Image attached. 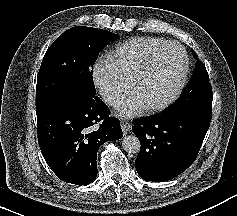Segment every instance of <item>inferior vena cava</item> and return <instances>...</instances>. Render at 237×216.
<instances>
[{"label": "inferior vena cava", "instance_id": "inferior-vena-cava-1", "mask_svg": "<svg viewBox=\"0 0 237 216\" xmlns=\"http://www.w3.org/2000/svg\"><path fill=\"white\" fill-rule=\"evenodd\" d=\"M101 97L112 108L119 109L124 105V95L112 90H103Z\"/></svg>", "mask_w": 237, "mask_h": 216}]
</instances>
